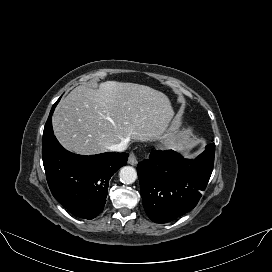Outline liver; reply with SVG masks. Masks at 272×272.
Returning <instances> with one entry per match:
<instances>
[{
	"instance_id": "6515ba94",
	"label": "liver",
	"mask_w": 272,
	"mask_h": 272,
	"mask_svg": "<svg viewBox=\"0 0 272 272\" xmlns=\"http://www.w3.org/2000/svg\"><path fill=\"white\" fill-rule=\"evenodd\" d=\"M174 116L169 98L149 86L106 81L74 88L58 104L52 124L67 150L80 155L108 151L120 142L163 139Z\"/></svg>"
}]
</instances>
